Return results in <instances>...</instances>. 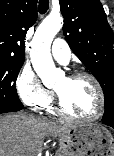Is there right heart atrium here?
I'll return each instance as SVG.
<instances>
[{
  "label": "right heart atrium",
  "instance_id": "obj_1",
  "mask_svg": "<svg viewBox=\"0 0 114 156\" xmlns=\"http://www.w3.org/2000/svg\"><path fill=\"white\" fill-rule=\"evenodd\" d=\"M16 91L20 100L34 110L45 108L53 99V92L47 89L34 70L23 66L16 78Z\"/></svg>",
  "mask_w": 114,
  "mask_h": 156
}]
</instances>
